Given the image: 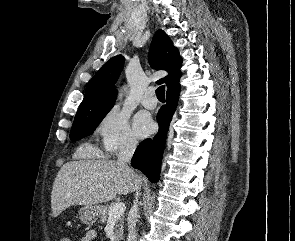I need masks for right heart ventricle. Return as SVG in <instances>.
<instances>
[{
	"instance_id": "obj_1",
	"label": "right heart ventricle",
	"mask_w": 295,
	"mask_h": 241,
	"mask_svg": "<svg viewBox=\"0 0 295 241\" xmlns=\"http://www.w3.org/2000/svg\"><path fill=\"white\" fill-rule=\"evenodd\" d=\"M78 157H99L101 153L89 144L82 145L76 152Z\"/></svg>"
}]
</instances>
